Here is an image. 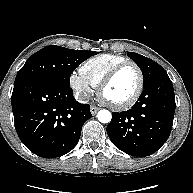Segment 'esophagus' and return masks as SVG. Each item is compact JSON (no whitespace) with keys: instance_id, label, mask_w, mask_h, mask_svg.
Listing matches in <instances>:
<instances>
[{"instance_id":"esophagus-1","label":"esophagus","mask_w":193,"mask_h":193,"mask_svg":"<svg viewBox=\"0 0 193 193\" xmlns=\"http://www.w3.org/2000/svg\"><path fill=\"white\" fill-rule=\"evenodd\" d=\"M99 108L96 106H91L90 111L92 115H95L98 112Z\"/></svg>"}]
</instances>
